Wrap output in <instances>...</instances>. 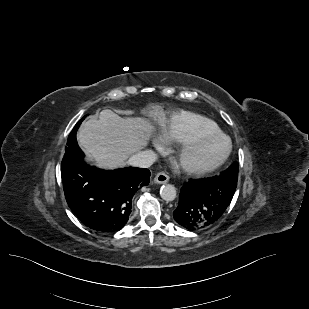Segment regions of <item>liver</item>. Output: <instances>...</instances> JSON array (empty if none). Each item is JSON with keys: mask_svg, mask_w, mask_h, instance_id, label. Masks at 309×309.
Listing matches in <instances>:
<instances>
[{"mask_svg": "<svg viewBox=\"0 0 309 309\" xmlns=\"http://www.w3.org/2000/svg\"><path fill=\"white\" fill-rule=\"evenodd\" d=\"M154 126L144 118H122L111 110H102L99 119L86 121L78 132V142L87 156L102 168L126 164L129 156L144 148Z\"/></svg>", "mask_w": 309, "mask_h": 309, "instance_id": "liver-1", "label": "liver"}]
</instances>
